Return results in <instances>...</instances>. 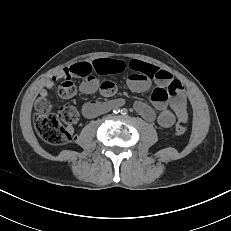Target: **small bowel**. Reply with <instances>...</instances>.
I'll return each instance as SVG.
<instances>
[{
  "label": "small bowel",
  "instance_id": "1",
  "mask_svg": "<svg viewBox=\"0 0 231 231\" xmlns=\"http://www.w3.org/2000/svg\"><path fill=\"white\" fill-rule=\"evenodd\" d=\"M126 69L130 70L126 83L132 91L144 92L154 84L151 105L141 101L134 104L135 110L142 117L148 121L157 122L163 128L172 127L176 119L187 120V95L181 82L168 71L139 60L125 63L116 59H95L60 70L48 79L39 90L36 109L43 101L47 100L49 90L56 85L59 79L72 75L84 78L80 85L82 93L91 94L99 90L104 96H112L116 93V85L111 81H100L99 77L121 73ZM118 104L120 101L87 102L82 107V114L86 118H92ZM71 130L69 128V131Z\"/></svg>",
  "mask_w": 231,
  "mask_h": 231
}]
</instances>
